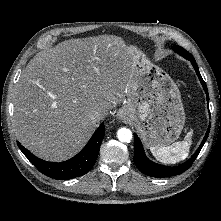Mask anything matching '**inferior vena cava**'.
I'll return each instance as SVG.
<instances>
[{
    "instance_id": "inferior-vena-cava-1",
    "label": "inferior vena cava",
    "mask_w": 221,
    "mask_h": 221,
    "mask_svg": "<svg viewBox=\"0 0 221 221\" xmlns=\"http://www.w3.org/2000/svg\"><path fill=\"white\" fill-rule=\"evenodd\" d=\"M90 117L94 121H99L103 118V113L98 110H94L91 112Z\"/></svg>"
}]
</instances>
